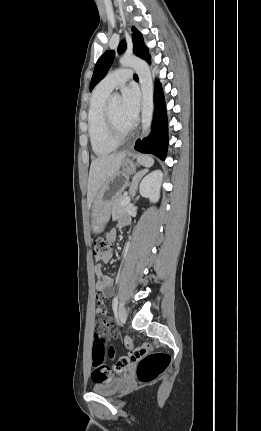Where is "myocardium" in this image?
Listing matches in <instances>:
<instances>
[{
    "mask_svg": "<svg viewBox=\"0 0 261 431\" xmlns=\"http://www.w3.org/2000/svg\"><path fill=\"white\" fill-rule=\"evenodd\" d=\"M103 116L109 139L117 145L124 143L131 135L132 129L130 128L124 133L119 132L111 119L108 107H105Z\"/></svg>",
    "mask_w": 261,
    "mask_h": 431,
    "instance_id": "obj_1",
    "label": "myocardium"
}]
</instances>
